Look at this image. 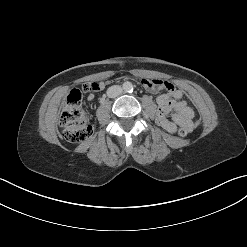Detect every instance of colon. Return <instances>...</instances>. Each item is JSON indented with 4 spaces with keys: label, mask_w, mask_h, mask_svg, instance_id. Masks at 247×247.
Listing matches in <instances>:
<instances>
[{
    "label": "colon",
    "mask_w": 247,
    "mask_h": 247,
    "mask_svg": "<svg viewBox=\"0 0 247 247\" xmlns=\"http://www.w3.org/2000/svg\"><path fill=\"white\" fill-rule=\"evenodd\" d=\"M97 89L96 83H86L83 91L93 92ZM82 95L77 89H73L67 96L64 108L60 117V124L63 128V137L70 143H80L88 140L93 135V127L89 117L81 105ZM186 128H180L178 134L186 137L189 134Z\"/></svg>",
    "instance_id": "5ec220e1"
}]
</instances>
